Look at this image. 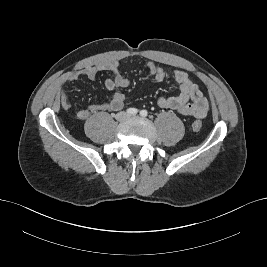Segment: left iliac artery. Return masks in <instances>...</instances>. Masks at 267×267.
Masks as SVG:
<instances>
[{"mask_svg":"<svg viewBox=\"0 0 267 267\" xmlns=\"http://www.w3.org/2000/svg\"><path fill=\"white\" fill-rule=\"evenodd\" d=\"M147 114H148V112H147L146 110H141V111H140V115H141L142 117H146Z\"/></svg>","mask_w":267,"mask_h":267,"instance_id":"left-iliac-artery-1","label":"left iliac artery"}]
</instances>
